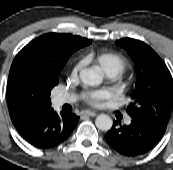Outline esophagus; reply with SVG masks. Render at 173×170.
Segmentation results:
<instances>
[{
  "label": "esophagus",
  "mask_w": 173,
  "mask_h": 170,
  "mask_svg": "<svg viewBox=\"0 0 173 170\" xmlns=\"http://www.w3.org/2000/svg\"><path fill=\"white\" fill-rule=\"evenodd\" d=\"M85 114L88 116H91V117L96 116V112H94V111H86Z\"/></svg>",
  "instance_id": "1"
}]
</instances>
